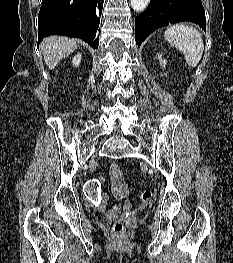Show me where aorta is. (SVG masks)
Wrapping results in <instances>:
<instances>
[{
	"label": "aorta",
	"mask_w": 233,
	"mask_h": 263,
	"mask_svg": "<svg viewBox=\"0 0 233 263\" xmlns=\"http://www.w3.org/2000/svg\"><path fill=\"white\" fill-rule=\"evenodd\" d=\"M150 0H131V6L134 11L141 12L146 9Z\"/></svg>",
	"instance_id": "aorta-1"
}]
</instances>
